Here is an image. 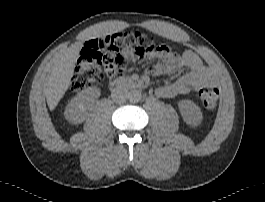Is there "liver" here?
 Here are the masks:
<instances>
[{
  "mask_svg": "<svg viewBox=\"0 0 265 202\" xmlns=\"http://www.w3.org/2000/svg\"><path fill=\"white\" fill-rule=\"evenodd\" d=\"M82 47L83 44L81 42L69 46L58 56L51 70L46 88L47 104L51 111L56 108L71 84L75 61Z\"/></svg>",
  "mask_w": 265,
  "mask_h": 202,
  "instance_id": "1",
  "label": "liver"
}]
</instances>
